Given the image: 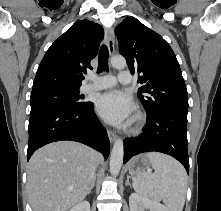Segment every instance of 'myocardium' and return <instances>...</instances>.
Wrapping results in <instances>:
<instances>
[{"instance_id":"1","label":"myocardium","mask_w":221,"mask_h":211,"mask_svg":"<svg viewBox=\"0 0 221 211\" xmlns=\"http://www.w3.org/2000/svg\"><path fill=\"white\" fill-rule=\"evenodd\" d=\"M144 122H145V117H144V115H143L141 112H138V113L134 116V118H133V120H132V124H131L130 130H131L132 132H137V131H139V130L142 128V126L144 125Z\"/></svg>"}]
</instances>
